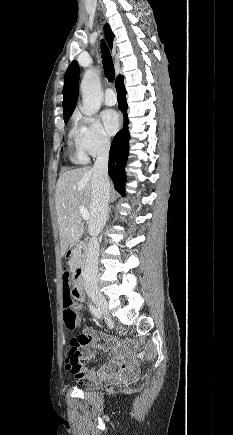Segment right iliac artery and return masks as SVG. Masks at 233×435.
<instances>
[{
  "instance_id": "obj_1",
  "label": "right iliac artery",
  "mask_w": 233,
  "mask_h": 435,
  "mask_svg": "<svg viewBox=\"0 0 233 435\" xmlns=\"http://www.w3.org/2000/svg\"><path fill=\"white\" fill-rule=\"evenodd\" d=\"M89 309L95 317H97L98 319L102 318V312L100 311L99 308L89 304Z\"/></svg>"
}]
</instances>
